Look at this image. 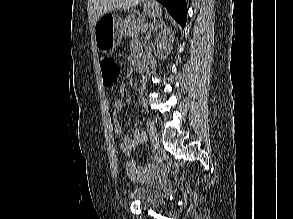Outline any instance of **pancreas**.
Returning <instances> with one entry per match:
<instances>
[{
    "label": "pancreas",
    "instance_id": "cf45deb5",
    "mask_svg": "<svg viewBox=\"0 0 293 219\" xmlns=\"http://www.w3.org/2000/svg\"><path fill=\"white\" fill-rule=\"evenodd\" d=\"M148 28V25L143 19H136L134 15H129L122 24V33L125 36H134L143 33Z\"/></svg>",
    "mask_w": 293,
    "mask_h": 219
}]
</instances>
